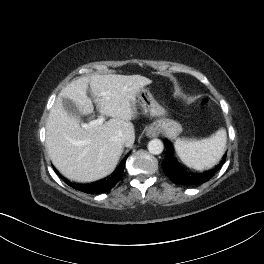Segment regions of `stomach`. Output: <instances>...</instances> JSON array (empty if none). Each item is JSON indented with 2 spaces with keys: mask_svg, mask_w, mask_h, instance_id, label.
<instances>
[{
  "mask_svg": "<svg viewBox=\"0 0 264 264\" xmlns=\"http://www.w3.org/2000/svg\"><path fill=\"white\" fill-rule=\"evenodd\" d=\"M136 98L145 115L159 117L165 114V109L154 99L153 95L148 89L142 88L136 95ZM153 126L159 133L165 134L171 139L176 138L183 130L180 123L164 117L155 121Z\"/></svg>",
  "mask_w": 264,
  "mask_h": 264,
  "instance_id": "0dacf381",
  "label": "stomach"
}]
</instances>
